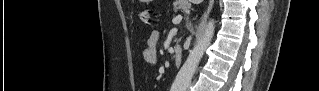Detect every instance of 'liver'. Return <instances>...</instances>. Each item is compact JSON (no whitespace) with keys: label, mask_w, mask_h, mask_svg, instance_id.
<instances>
[{"label":"liver","mask_w":319,"mask_h":91,"mask_svg":"<svg viewBox=\"0 0 319 91\" xmlns=\"http://www.w3.org/2000/svg\"><path fill=\"white\" fill-rule=\"evenodd\" d=\"M202 0H190V2L194 3V4H199Z\"/></svg>","instance_id":"1"}]
</instances>
